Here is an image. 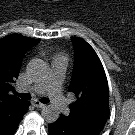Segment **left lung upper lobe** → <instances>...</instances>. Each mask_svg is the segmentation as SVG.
<instances>
[{"instance_id": "5c2ea615", "label": "left lung upper lobe", "mask_w": 135, "mask_h": 135, "mask_svg": "<svg viewBox=\"0 0 135 135\" xmlns=\"http://www.w3.org/2000/svg\"><path fill=\"white\" fill-rule=\"evenodd\" d=\"M71 40L75 63L69 91L75 93L77 101L69 105V116L61 114L59 118L88 135H98L109 116L106 74L96 52L86 41Z\"/></svg>"}]
</instances>
